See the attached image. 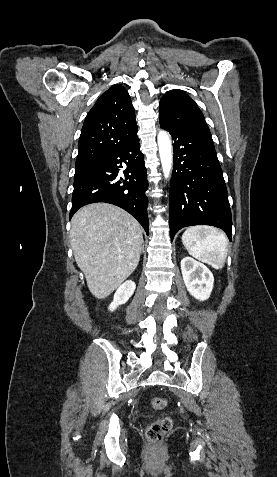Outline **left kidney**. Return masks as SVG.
Wrapping results in <instances>:
<instances>
[{
	"label": "left kidney",
	"mask_w": 277,
	"mask_h": 477,
	"mask_svg": "<svg viewBox=\"0 0 277 477\" xmlns=\"http://www.w3.org/2000/svg\"><path fill=\"white\" fill-rule=\"evenodd\" d=\"M181 271L185 286L195 299L207 300L212 292L214 277L211 271L202 263L191 257L181 260Z\"/></svg>",
	"instance_id": "1"
}]
</instances>
